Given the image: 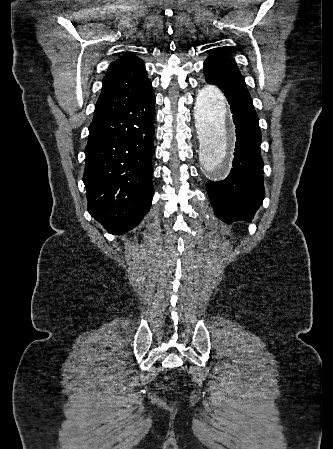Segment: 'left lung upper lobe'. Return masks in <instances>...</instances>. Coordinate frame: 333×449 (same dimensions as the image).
<instances>
[{
	"mask_svg": "<svg viewBox=\"0 0 333 449\" xmlns=\"http://www.w3.org/2000/svg\"><path fill=\"white\" fill-rule=\"evenodd\" d=\"M213 50L214 52L205 60L204 74L211 73L218 78H225L245 85L234 58L223 52L221 48Z\"/></svg>",
	"mask_w": 333,
	"mask_h": 449,
	"instance_id": "obj_1",
	"label": "left lung upper lobe"
}]
</instances>
